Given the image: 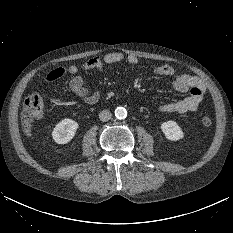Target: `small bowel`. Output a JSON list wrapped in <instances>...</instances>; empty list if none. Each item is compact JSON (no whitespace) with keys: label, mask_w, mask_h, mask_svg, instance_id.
<instances>
[{"label":"small bowel","mask_w":233,"mask_h":233,"mask_svg":"<svg viewBox=\"0 0 233 233\" xmlns=\"http://www.w3.org/2000/svg\"><path fill=\"white\" fill-rule=\"evenodd\" d=\"M122 61L135 65L138 63V58L135 55L125 56L119 52H111L102 57L95 56L90 58L83 65L82 69L85 71L97 70L99 72H103L107 65L116 64ZM62 73L63 75L67 73L72 76L69 83L70 90L76 96L80 97L85 104L94 105L99 101L100 94L96 91H91L84 85L83 77L79 75V68L75 65H71L65 69L57 68L50 71L46 76V81H55L62 76ZM154 73L158 76L169 77L171 79L172 86L177 91L189 92L187 97L175 99L155 106L157 111L185 114L198 110L206 90L205 84L200 78L178 73L169 65L156 66L154 68Z\"/></svg>","instance_id":"c3829d8e"}]
</instances>
